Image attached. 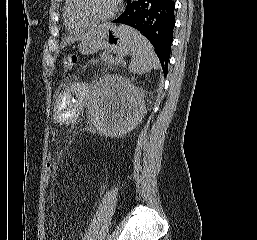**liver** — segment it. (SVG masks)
<instances>
[{"label":"liver","instance_id":"1","mask_svg":"<svg viewBox=\"0 0 257 240\" xmlns=\"http://www.w3.org/2000/svg\"><path fill=\"white\" fill-rule=\"evenodd\" d=\"M103 25H98V26L94 27L93 29H91L90 31H88V33L83 34L81 36L71 37V38L66 39L63 43V47L66 46L67 44H70V43L74 42V41L84 40L87 36L93 34L97 29H100Z\"/></svg>","mask_w":257,"mask_h":240}]
</instances>
